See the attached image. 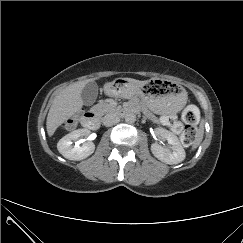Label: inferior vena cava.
Segmentation results:
<instances>
[{
	"label": "inferior vena cava",
	"instance_id": "1",
	"mask_svg": "<svg viewBox=\"0 0 243 243\" xmlns=\"http://www.w3.org/2000/svg\"><path fill=\"white\" fill-rule=\"evenodd\" d=\"M119 121L120 118L114 113L107 114L102 119L103 124L107 127L117 124Z\"/></svg>",
	"mask_w": 243,
	"mask_h": 243
}]
</instances>
